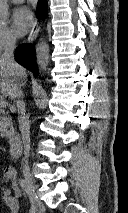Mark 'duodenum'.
Here are the masks:
<instances>
[{"label": "duodenum", "instance_id": "duodenum-1", "mask_svg": "<svg viewBox=\"0 0 128 213\" xmlns=\"http://www.w3.org/2000/svg\"><path fill=\"white\" fill-rule=\"evenodd\" d=\"M22 149L21 136L17 132L9 135V155L11 158H16Z\"/></svg>", "mask_w": 128, "mask_h": 213}]
</instances>
